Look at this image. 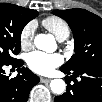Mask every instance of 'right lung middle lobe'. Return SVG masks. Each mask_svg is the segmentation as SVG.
<instances>
[{"mask_svg":"<svg viewBox=\"0 0 102 102\" xmlns=\"http://www.w3.org/2000/svg\"><path fill=\"white\" fill-rule=\"evenodd\" d=\"M38 16L36 10L17 5L0 4V64H11L20 52V37L24 26Z\"/></svg>","mask_w":102,"mask_h":102,"instance_id":"obj_1","label":"right lung middle lobe"}]
</instances>
